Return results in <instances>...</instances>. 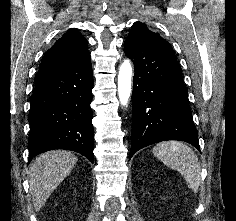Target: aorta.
<instances>
[{"mask_svg": "<svg viewBox=\"0 0 236 221\" xmlns=\"http://www.w3.org/2000/svg\"><path fill=\"white\" fill-rule=\"evenodd\" d=\"M131 82L132 66L129 60H125L121 64L118 74V96L123 106L128 104L131 94Z\"/></svg>", "mask_w": 236, "mask_h": 221, "instance_id": "762f6f07", "label": "aorta"}]
</instances>
